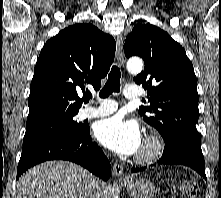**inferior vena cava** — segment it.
<instances>
[{"label":"inferior vena cava","mask_w":221,"mask_h":198,"mask_svg":"<svg viewBox=\"0 0 221 198\" xmlns=\"http://www.w3.org/2000/svg\"><path fill=\"white\" fill-rule=\"evenodd\" d=\"M87 197L99 198V185L94 177L90 178L87 185Z\"/></svg>","instance_id":"1"}]
</instances>
